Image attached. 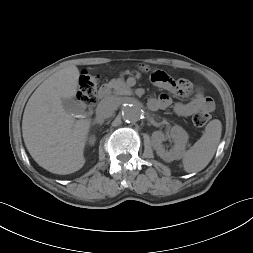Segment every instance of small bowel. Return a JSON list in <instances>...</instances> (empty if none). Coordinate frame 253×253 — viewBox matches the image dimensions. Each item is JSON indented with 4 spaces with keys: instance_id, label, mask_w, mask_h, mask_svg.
I'll list each match as a JSON object with an SVG mask.
<instances>
[{
    "instance_id": "small-bowel-1",
    "label": "small bowel",
    "mask_w": 253,
    "mask_h": 253,
    "mask_svg": "<svg viewBox=\"0 0 253 253\" xmlns=\"http://www.w3.org/2000/svg\"><path fill=\"white\" fill-rule=\"evenodd\" d=\"M153 83L158 89L168 91L181 97H186L193 93V97L186 103L173 102L168 94L163 93L149 100L148 106L151 110L173 107L177 115L188 117L198 112H211L214 109L213 100L206 96L201 88L195 87L186 79L174 80L165 72H160V77L153 78Z\"/></svg>"
}]
</instances>
